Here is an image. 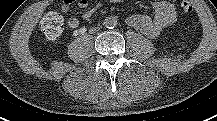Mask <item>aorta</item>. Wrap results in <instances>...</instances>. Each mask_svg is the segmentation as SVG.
<instances>
[{"label": "aorta", "mask_w": 217, "mask_h": 121, "mask_svg": "<svg viewBox=\"0 0 217 121\" xmlns=\"http://www.w3.org/2000/svg\"><path fill=\"white\" fill-rule=\"evenodd\" d=\"M104 26L107 27V28H114L117 24V20L115 17H107L105 20H104Z\"/></svg>", "instance_id": "1"}]
</instances>
